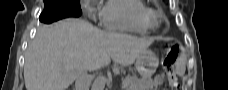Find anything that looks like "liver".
Returning <instances> with one entry per match:
<instances>
[{"mask_svg":"<svg viewBox=\"0 0 228 90\" xmlns=\"http://www.w3.org/2000/svg\"><path fill=\"white\" fill-rule=\"evenodd\" d=\"M154 42L124 33L100 30L81 19H65L40 26L25 54L26 90H66L88 71L111 60L129 66Z\"/></svg>","mask_w":228,"mask_h":90,"instance_id":"obj_1","label":"liver"}]
</instances>
